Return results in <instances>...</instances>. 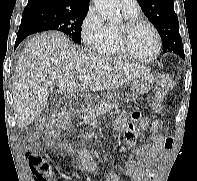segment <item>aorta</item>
<instances>
[{
  "instance_id": "obj_1",
  "label": "aorta",
  "mask_w": 197,
  "mask_h": 181,
  "mask_svg": "<svg viewBox=\"0 0 197 181\" xmlns=\"http://www.w3.org/2000/svg\"><path fill=\"white\" fill-rule=\"evenodd\" d=\"M101 16L110 23L120 22V12L116 0H93Z\"/></svg>"
}]
</instances>
